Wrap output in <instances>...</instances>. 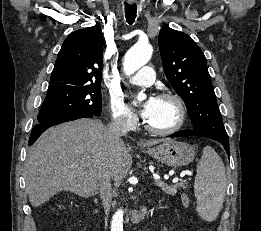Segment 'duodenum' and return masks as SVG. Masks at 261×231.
<instances>
[{"label":"duodenum","instance_id":"410a0bca","mask_svg":"<svg viewBox=\"0 0 261 231\" xmlns=\"http://www.w3.org/2000/svg\"><path fill=\"white\" fill-rule=\"evenodd\" d=\"M141 216H142V214H141L140 211L136 212L135 217H136L137 219H140Z\"/></svg>","mask_w":261,"mask_h":231}]
</instances>
